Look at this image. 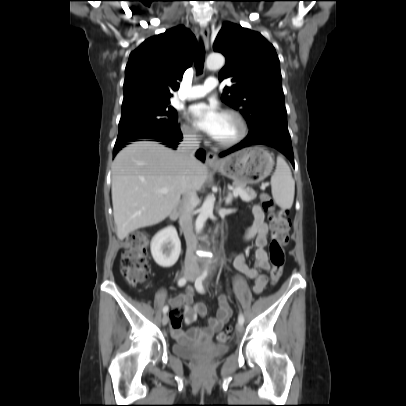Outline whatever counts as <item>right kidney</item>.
<instances>
[{
	"label": "right kidney",
	"instance_id": "ca27d5eb",
	"mask_svg": "<svg viewBox=\"0 0 406 406\" xmlns=\"http://www.w3.org/2000/svg\"><path fill=\"white\" fill-rule=\"evenodd\" d=\"M181 242L174 227L159 231L151 242V254L154 261L161 267L173 266L180 255Z\"/></svg>",
	"mask_w": 406,
	"mask_h": 406
}]
</instances>
